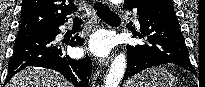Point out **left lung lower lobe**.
<instances>
[{
	"mask_svg": "<svg viewBox=\"0 0 205 87\" xmlns=\"http://www.w3.org/2000/svg\"><path fill=\"white\" fill-rule=\"evenodd\" d=\"M124 8L137 9L141 34L134 35L146 39L143 45H127V70L124 80L144 69L166 63L193 71L172 1L125 3Z\"/></svg>",
	"mask_w": 205,
	"mask_h": 87,
	"instance_id": "0a47b994",
	"label": "left lung lower lobe"
}]
</instances>
